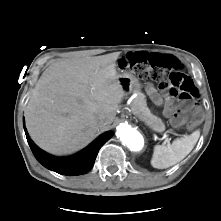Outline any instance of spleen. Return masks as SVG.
Here are the masks:
<instances>
[{"label":"spleen","instance_id":"spleen-1","mask_svg":"<svg viewBox=\"0 0 221 221\" xmlns=\"http://www.w3.org/2000/svg\"><path fill=\"white\" fill-rule=\"evenodd\" d=\"M199 137L200 131L196 130L190 135L175 139L170 145H156L151 165L154 168L165 169L177 164L192 151Z\"/></svg>","mask_w":221,"mask_h":221}]
</instances>
